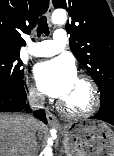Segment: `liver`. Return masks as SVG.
<instances>
[{"label":"liver","mask_w":114,"mask_h":156,"mask_svg":"<svg viewBox=\"0 0 114 156\" xmlns=\"http://www.w3.org/2000/svg\"><path fill=\"white\" fill-rule=\"evenodd\" d=\"M45 125L33 117L0 113V156H24L28 147L36 150V133L41 137Z\"/></svg>","instance_id":"obj_1"}]
</instances>
